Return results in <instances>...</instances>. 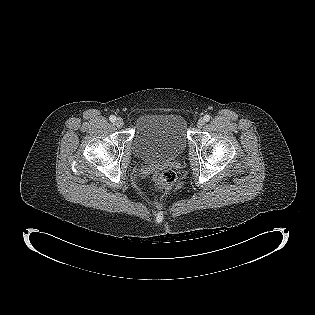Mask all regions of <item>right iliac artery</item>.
<instances>
[{"instance_id":"obj_1","label":"right iliac artery","mask_w":315,"mask_h":315,"mask_svg":"<svg viewBox=\"0 0 315 315\" xmlns=\"http://www.w3.org/2000/svg\"><path fill=\"white\" fill-rule=\"evenodd\" d=\"M109 120H110L111 122H115V121H116V117H115L114 115H111V116L109 117Z\"/></svg>"}]
</instances>
